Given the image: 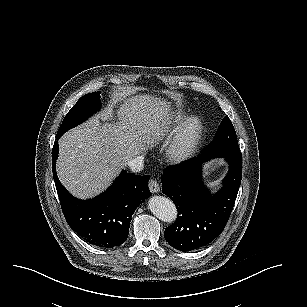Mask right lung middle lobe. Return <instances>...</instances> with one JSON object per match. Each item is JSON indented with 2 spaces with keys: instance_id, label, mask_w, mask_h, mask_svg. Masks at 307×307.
Wrapping results in <instances>:
<instances>
[{
  "instance_id": "obj_1",
  "label": "right lung middle lobe",
  "mask_w": 307,
  "mask_h": 307,
  "mask_svg": "<svg viewBox=\"0 0 307 307\" xmlns=\"http://www.w3.org/2000/svg\"><path fill=\"white\" fill-rule=\"evenodd\" d=\"M100 91L81 97L65 116L57 133L61 137L67 130L85 121L101 107Z\"/></svg>"
}]
</instances>
